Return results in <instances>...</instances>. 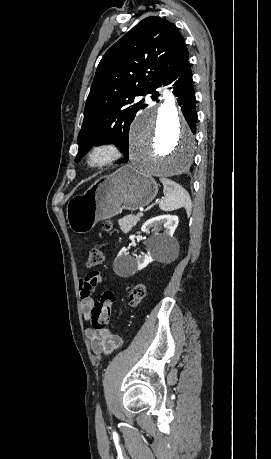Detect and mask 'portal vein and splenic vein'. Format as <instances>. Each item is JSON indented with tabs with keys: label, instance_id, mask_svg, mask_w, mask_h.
<instances>
[{
	"label": "portal vein and splenic vein",
	"instance_id": "18ae733b",
	"mask_svg": "<svg viewBox=\"0 0 271 459\" xmlns=\"http://www.w3.org/2000/svg\"><path fill=\"white\" fill-rule=\"evenodd\" d=\"M142 213H143L142 211H141V212L139 211V212H138V214H139L138 216H139V217H142V216H143Z\"/></svg>",
	"mask_w": 271,
	"mask_h": 459
}]
</instances>
